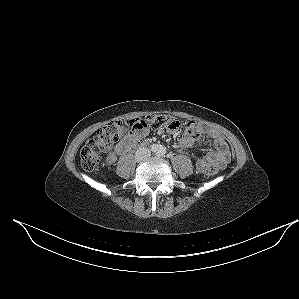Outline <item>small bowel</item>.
Here are the masks:
<instances>
[{
  "label": "small bowel",
  "instance_id": "c3829d8e",
  "mask_svg": "<svg viewBox=\"0 0 299 299\" xmlns=\"http://www.w3.org/2000/svg\"><path fill=\"white\" fill-rule=\"evenodd\" d=\"M146 132L147 131L143 133H130L119 141L114 147V151L108 156L107 163L112 164L116 159V154H123L127 152L138 139L146 134ZM203 135L213 139L215 150L196 159L197 169L200 172H204V169L209 165H215L218 169L224 168L230 161L231 153L225 139L215 130L202 129L201 132L194 138L184 136L179 140L178 147L180 149H188L193 145L195 140H201Z\"/></svg>",
  "mask_w": 299,
  "mask_h": 299
}]
</instances>
